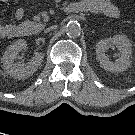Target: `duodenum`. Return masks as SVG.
<instances>
[{"label": "duodenum", "instance_id": "duodenum-1", "mask_svg": "<svg viewBox=\"0 0 135 135\" xmlns=\"http://www.w3.org/2000/svg\"><path fill=\"white\" fill-rule=\"evenodd\" d=\"M20 32H22V33H24V34H29V31L26 30V29H24V28H20V29H19V33H20Z\"/></svg>", "mask_w": 135, "mask_h": 135}]
</instances>
